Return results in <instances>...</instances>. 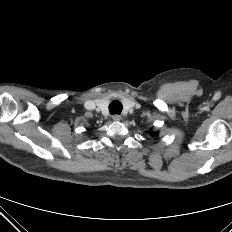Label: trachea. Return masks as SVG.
Listing matches in <instances>:
<instances>
[{"instance_id": "1", "label": "trachea", "mask_w": 232, "mask_h": 232, "mask_svg": "<svg viewBox=\"0 0 232 232\" xmlns=\"http://www.w3.org/2000/svg\"><path fill=\"white\" fill-rule=\"evenodd\" d=\"M122 103L118 100H114L109 105L110 114H120L122 111Z\"/></svg>"}]
</instances>
